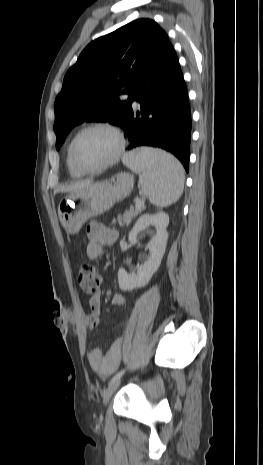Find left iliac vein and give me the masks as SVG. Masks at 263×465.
Listing matches in <instances>:
<instances>
[{
	"instance_id": "left-iliac-vein-1",
	"label": "left iliac vein",
	"mask_w": 263,
	"mask_h": 465,
	"mask_svg": "<svg viewBox=\"0 0 263 465\" xmlns=\"http://www.w3.org/2000/svg\"><path fill=\"white\" fill-rule=\"evenodd\" d=\"M121 383V378L111 382L109 384V386L107 387V389L105 390L104 392V395H103V404L104 406H107L112 394L115 392V390L119 387Z\"/></svg>"
}]
</instances>
